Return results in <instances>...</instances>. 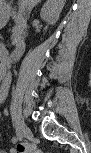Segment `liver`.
<instances>
[{"mask_svg": "<svg viewBox=\"0 0 91 153\" xmlns=\"http://www.w3.org/2000/svg\"><path fill=\"white\" fill-rule=\"evenodd\" d=\"M41 0H23L21 6L24 8H28L31 10L34 6H36ZM58 4L64 5V0H56Z\"/></svg>", "mask_w": 91, "mask_h": 153, "instance_id": "1", "label": "liver"}]
</instances>
